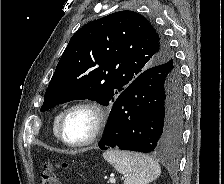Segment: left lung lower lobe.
<instances>
[{
    "mask_svg": "<svg viewBox=\"0 0 224 184\" xmlns=\"http://www.w3.org/2000/svg\"><path fill=\"white\" fill-rule=\"evenodd\" d=\"M182 124V80L167 62L142 72L118 95L98 146L171 152L180 144Z\"/></svg>",
    "mask_w": 224,
    "mask_h": 184,
    "instance_id": "left-lung-lower-lobe-1",
    "label": "left lung lower lobe"
}]
</instances>
